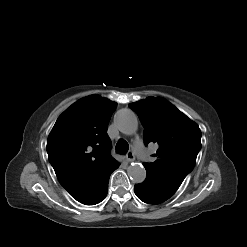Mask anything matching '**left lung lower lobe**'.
<instances>
[{"label":"left lung lower lobe","mask_w":247,"mask_h":247,"mask_svg":"<svg viewBox=\"0 0 247 247\" xmlns=\"http://www.w3.org/2000/svg\"><path fill=\"white\" fill-rule=\"evenodd\" d=\"M134 191L141 201L148 204L162 203L175 193L169 189L162 180L149 171H147L145 181L135 185Z\"/></svg>","instance_id":"left-lung-lower-lobe-1"}]
</instances>
